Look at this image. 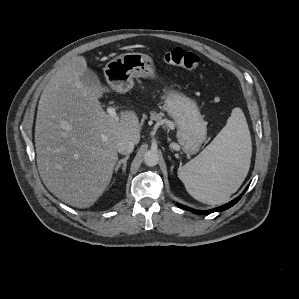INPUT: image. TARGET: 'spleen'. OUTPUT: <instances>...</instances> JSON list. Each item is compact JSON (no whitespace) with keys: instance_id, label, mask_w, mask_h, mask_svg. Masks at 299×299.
<instances>
[{"instance_id":"1","label":"spleen","mask_w":299,"mask_h":299,"mask_svg":"<svg viewBox=\"0 0 299 299\" xmlns=\"http://www.w3.org/2000/svg\"><path fill=\"white\" fill-rule=\"evenodd\" d=\"M251 136L243 111L234 108L214 140L178 172L188 193L205 204H221L245 180L251 162Z\"/></svg>"}]
</instances>
